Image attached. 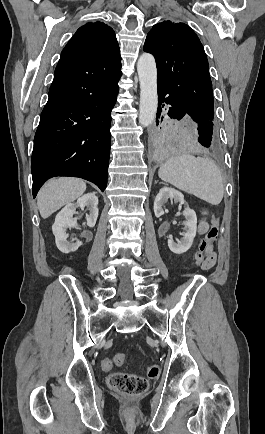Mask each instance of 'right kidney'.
<instances>
[{
  "mask_svg": "<svg viewBox=\"0 0 265 434\" xmlns=\"http://www.w3.org/2000/svg\"><path fill=\"white\" fill-rule=\"evenodd\" d=\"M89 208L90 214L86 216L87 226L94 228L96 220L98 218V198L95 196V192L90 194H84L81 198H78L76 204H67L55 218V222L52 226V232L55 236V242L58 250L63 254H70V252H76L80 248L82 242H67L69 234H67V228H77V220L73 218V214H76L77 208Z\"/></svg>",
  "mask_w": 265,
  "mask_h": 434,
  "instance_id": "obj_1",
  "label": "right kidney"
}]
</instances>
